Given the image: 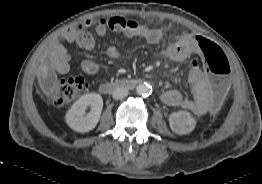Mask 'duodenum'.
Instances as JSON below:
<instances>
[{
  "label": "duodenum",
  "instance_id": "obj_1",
  "mask_svg": "<svg viewBox=\"0 0 262 184\" xmlns=\"http://www.w3.org/2000/svg\"><path fill=\"white\" fill-rule=\"evenodd\" d=\"M141 82L139 79H122L117 82H104L100 85V91L104 94L110 93L116 88H132Z\"/></svg>",
  "mask_w": 262,
  "mask_h": 184
}]
</instances>
